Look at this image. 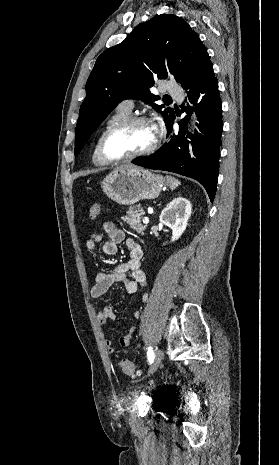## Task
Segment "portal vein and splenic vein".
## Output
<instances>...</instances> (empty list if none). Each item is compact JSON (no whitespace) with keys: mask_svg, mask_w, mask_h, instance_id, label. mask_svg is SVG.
I'll use <instances>...</instances> for the list:
<instances>
[{"mask_svg":"<svg viewBox=\"0 0 279 465\" xmlns=\"http://www.w3.org/2000/svg\"><path fill=\"white\" fill-rule=\"evenodd\" d=\"M143 223L148 224V223H149V218H148V217H144V218H143Z\"/></svg>","mask_w":279,"mask_h":465,"instance_id":"18ae733b","label":"portal vein and splenic vein"}]
</instances>
